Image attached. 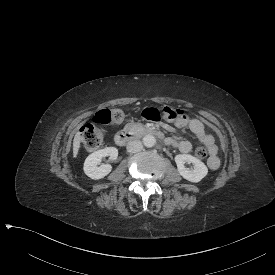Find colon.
I'll return each instance as SVG.
<instances>
[{"label":"colon","instance_id":"obj_1","mask_svg":"<svg viewBox=\"0 0 275 275\" xmlns=\"http://www.w3.org/2000/svg\"><path fill=\"white\" fill-rule=\"evenodd\" d=\"M185 112L181 109L165 106L163 108L148 107L142 110V117L147 121H164L171 123L184 117ZM123 110L116 109H102L99 110L91 121L83 124L79 130V134L82 139L83 147L90 152L100 150L105 137V127L110 125H116L123 121ZM195 155L199 159H205L207 157V150L204 147H197Z\"/></svg>","mask_w":275,"mask_h":275}]
</instances>
